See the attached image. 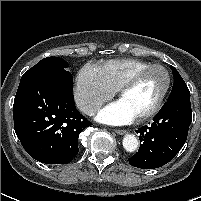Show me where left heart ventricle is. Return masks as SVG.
Returning a JSON list of instances; mask_svg holds the SVG:
<instances>
[{
    "label": "left heart ventricle",
    "instance_id": "left-heart-ventricle-1",
    "mask_svg": "<svg viewBox=\"0 0 201 201\" xmlns=\"http://www.w3.org/2000/svg\"><path fill=\"white\" fill-rule=\"evenodd\" d=\"M164 85V72L160 69H154L128 89L120 100L137 117L147 112L156 103Z\"/></svg>",
    "mask_w": 201,
    "mask_h": 201
}]
</instances>
